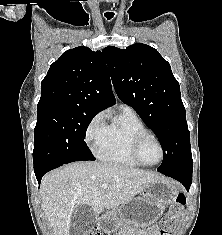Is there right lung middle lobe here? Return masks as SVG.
Wrapping results in <instances>:
<instances>
[{"mask_svg":"<svg viewBox=\"0 0 222 235\" xmlns=\"http://www.w3.org/2000/svg\"><path fill=\"white\" fill-rule=\"evenodd\" d=\"M97 113L66 107L39 112L34 129V171L74 161L95 160L84 139Z\"/></svg>","mask_w":222,"mask_h":235,"instance_id":"1","label":"right lung middle lobe"}]
</instances>
